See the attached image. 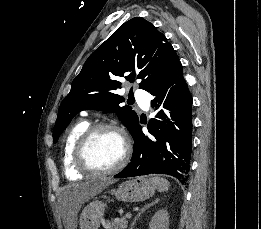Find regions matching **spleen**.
<instances>
[{"mask_svg": "<svg viewBox=\"0 0 261 229\" xmlns=\"http://www.w3.org/2000/svg\"><path fill=\"white\" fill-rule=\"evenodd\" d=\"M153 183H155L159 193H165L170 187L169 181L167 179H161V177H152Z\"/></svg>", "mask_w": 261, "mask_h": 229, "instance_id": "spleen-1", "label": "spleen"}]
</instances>
